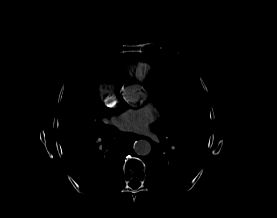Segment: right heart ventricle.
<instances>
[{"mask_svg": "<svg viewBox=\"0 0 277 218\" xmlns=\"http://www.w3.org/2000/svg\"><path fill=\"white\" fill-rule=\"evenodd\" d=\"M130 70L136 74L137 76H142L144 71H145V66L143 64H139V65H132L130 66Z\"/></svg>", "mask_w": 277, "mask_h": 218, "instance_id": "1", "label": "right heart ventricle"}]
</instances>
